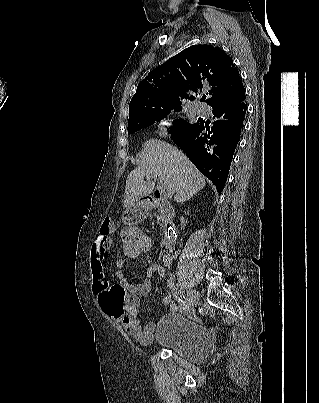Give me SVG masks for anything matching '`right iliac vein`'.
Returning <instances> with one entry per match:
<instances>
[{
	"label": "right iliac vein",
	"instance_id": "63e3f726",
	"mask_svg": "<svg viewBox=\"0 0 319 403\" xmlns=\"http://www.w3.org/2000/svg\"><path fill=\"white\" fill-rule=\"evenodd\" d=\"M187 296H188V301H189V304L191 305V307L196 306L198 303V300H199L198 293L193 289H189L187 291Z\"/></svg>",
	"mask_w": 319,
	"mask_h": 403
}]
</instances>
